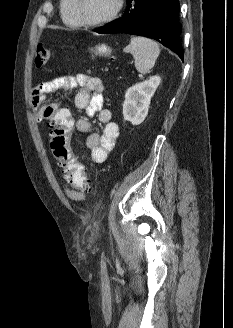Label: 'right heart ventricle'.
Returning <instances> with one entry per match:
<instances>
[{
	"instance_id": "right-heart-ventricle-1",
	"label": "right heart ventricle",
	"mask_w": 233,
	"mask_h": 328,
	"mask_svg": "<svg viewBox=\"0 0 233 328\" xmlns=\"http://www.w3.org/2000/svg\"><path fill=\"white\" fill-rule=\"evenodd\" d=\"M74 2L75 0H61L60 12L62 21L65 25L71 28H78L81 25L75 16Z\"/></svg>"
}]
</instances>
